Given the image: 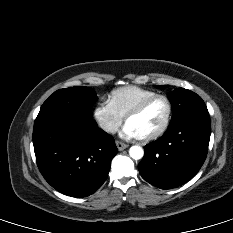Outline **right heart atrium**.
<instances>
[{"label":"right heart atrium","instance_id":"right-heart-atrium-1","mask_svg":"<svg viewBox=\"0 0 233 233\" xmlns=\"http://www.w3.org/2000/svg\"><path fill=\"white\" fill-rule=\"evenodd\" d=\"M93 116L100 128L108 134H114L123 122V117L109 101L98 103L94 108Z\"/></svg>","mask_w":233,"mask_h":233}]
</instances>
